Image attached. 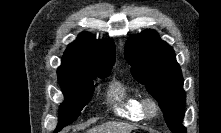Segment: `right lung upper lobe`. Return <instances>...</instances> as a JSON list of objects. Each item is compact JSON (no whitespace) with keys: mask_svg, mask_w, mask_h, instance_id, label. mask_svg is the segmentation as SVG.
Segmentation results:
<instances>
[{"mask_svg":"<svg viewBox=\"0 0 221 133\" xmlns=\"http://www.w3.org/2000/svg\"><path fill=\"white\" fill-rule=\"evenodd\" d=\"M115 62L113 40L94 39L93 35L83 32L71 43L61 60L58 76L66 75L92 66L110 65Z\"/></svg>","mask_w":221,"mask_h":133,"instance_id":"right-lung-upper-lobe-1","label":"right lung upper lobe"}]
</instances>
